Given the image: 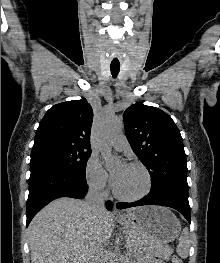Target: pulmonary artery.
I'll use <instances>...</instances> for the list:
<instances>
[{
    "label": "pulmonary artery",
    "mask_w": 220,
    "mask_h": 263,
    "mask_svg": "<svg viewBox=\"0 0 220 263\" xmlns=\"http://www.w3.org/2000/svg\"><path fill=\"white\" fill-rule=\"evenodd\" d=\"M112 144L114 146V148L118 149V150H122L128 147V141L127 138L124 134H120L117 135L113 141Z\"/></svg>",
    "instance_id": "obj_1"
}]
</instances>
